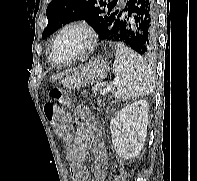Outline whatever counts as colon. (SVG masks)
Instances as JSON below:
<instances>
[{
	"label": "colon",
	"instance_id": "1",
	"mask_svg": "<svg viewBox=\"0 0 197 181\" xmlns=\"http://www.w3.org/2000/svg\"><path fill=\"white\" fill-rule=\"evenodd\" d=\"M49 95L51 101L46 102L43 107L45 117L56 132H65L70 122V116L62 108L67 104L63 91L60 87L56 86L51 88Z\"/></svg>",
	"mask_w": 197,
	"mask_h": 181
}]
</instances>
